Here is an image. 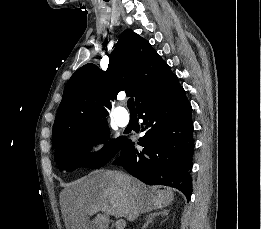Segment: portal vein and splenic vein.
<instances>
[{"label": "portal vein and splenic vein", "instance_id": "portal-vein-and-splenic-vein-1", "mask_svg": "<svg viewBox=\"0 0 261 229\" xmlns=\"http://www.w3.org/2000/svg\"><path fill=\"white\" fill-rule=\"evenodd\" d=\"M125 225V221H123V219H119L116 223V229H124Z\"/></svg>", "mask_w": 261, "mask_h": 229}]
</instances>
